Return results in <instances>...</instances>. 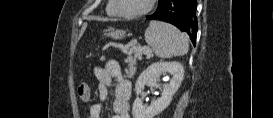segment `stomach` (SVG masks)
<instances>
[{
  "instance_id": "stomach-1",
  "label": "stomach",
  "mask_w": 273,
  "mask_h": 118,
  "mask_svg": "<svg viewBox=\"0 0 273 118\" xmlns=\"http://www.w3.org/2000/svg\"><path fill=\"white\" fill-rule=\"evenodd\" d=\"M108 36L114 39H122L125 37V31L123 30H116L108 33Z\"/></svg>"
}]
</instances>
